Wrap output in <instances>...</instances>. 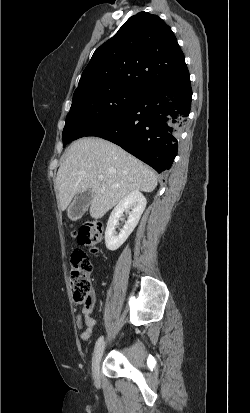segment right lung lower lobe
Segmentation results:
<instances>
[{"label": "right lung lower lobe", "mask_w": 250, "mask_h": 413, "mask_svg": "<svg viewBox=\"0 0 250 413\" xmlns=\"http://www.w3.org/2000/svg\"><path fill=\"white\" fill-rule=\"evenodd\" d=\"M191 100L189 76L179 83L155 84L141 90L121 113L86 136L109 140L161 173L176 157Z\"/></svg>", "instance_id": "obj_1"}]
</instances>
